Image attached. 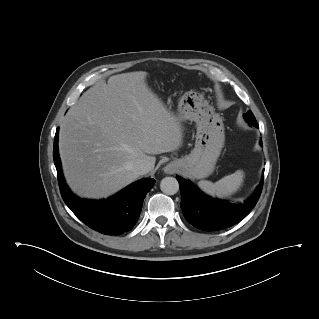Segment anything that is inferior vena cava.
Instances as JSON below:
<instances>
[{
  "label": "inferior vena cava",
  "mask_w": 319,
  "mask_h": 319,
  "mask_svg": "<svg viewBox=\"0 0 319 319\" xmlns=\"http://www.w3.org/2000/svg\"><path fill=\"white\" fill-rule=\"evenodd\" d=\"M152 168V165L150 163V161L146 160V159H140L137 160L133 166H132V171L136 174V175H144L146 173H148Z\"/></svg>",
  "instance_id": "inferior-vena-cava-1"
}]
</instances>
